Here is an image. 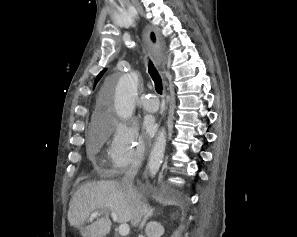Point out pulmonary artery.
I'll return each instance as SVG.
<instances>
[{
    "label": "pulmonary artery",
    "mask_w": 297,
    "mask_h": 237,
    "mask_svg": "<svg viewBox=\"0 0 297 237\" xmlns=\"http://www.w3.org/2000/svg\"><path fill=\"white\" fill-rule=\"evenodd\" d=\"M142 104L144 109L149 112H155L159 108V102L152 94H147Z\"/></svg>",
    "instance_id": "1"
}]
</instances>
